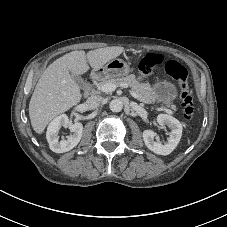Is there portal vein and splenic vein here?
I'll list each match as a JSON object with an SVG mask.
<instances>
[{
  "instance_id": "18ae733b",
  "label": "portal vein and splenic vein",
  "mask_w": 227,
  "mask_h": 227,
  "mask_svg": "<svg viewBox=\"0 0 227 227\" xmlns=\"http://www.w3.org/2000/svg\"><path fill=\"white\" fill-rule=\"evenodd\" d=\"M98 87V90L102 91V92H105V93H111L113 92L116 87H118L117 85L113 84V83H102V84H98L97 85ZM120 87H123V88H127L128 85L127 84H121ZM173 108V107H172ZM174 109V108H173ZM160 110H165L168 114L172 115L173 114V111L170 110V109H166V108H163L161 107Z\"/></svg>"
}]
</instances>
